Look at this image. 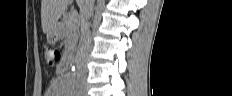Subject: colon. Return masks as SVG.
I'll return each instance as SVG.
<instances>
[{
  "mask_svg": "<svg viewBox=\"0 0 232 96\" xmlns=\"http://www.w3.org/2000/svg\"><path fill=\"white\" fill-rule=\"evenodd\" d=\"M46 60L49 64L57 63L61 58V53L56 48H47L45 51Z\"/></svg>",
  "mask_w": 232,
  "mask_h": 96,
  "instance_id": "1",
  "label": "colon"
}]
</instances>
